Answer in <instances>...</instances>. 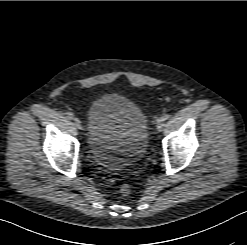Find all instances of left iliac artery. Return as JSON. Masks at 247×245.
Masks as SVG:
<instances>
[{
    "label": "left iliac artery",
    "instance_id": "44dca946",
    "mask_svg": "<svg viewBox=\"0 0 247 245\" xmlns=\"http://www.w3.org/2000/svg\"><path fill=\"white\" fill-rule=\"evenodd\" d=\"M168 118H169V114H168V113H165V114H163V115L159 118V120H160V121H166Z\"/></svg>",
    "mask_w": 247,
    "mask_h": 245
}]
</instances>
